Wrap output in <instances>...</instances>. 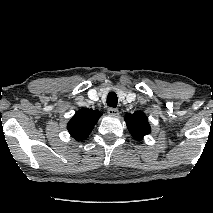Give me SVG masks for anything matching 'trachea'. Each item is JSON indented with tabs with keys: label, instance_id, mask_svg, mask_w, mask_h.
I'll return each instance as SVG.
<instances>
[{
	"label": "trachea",
	"instance_id": "obj_1",
	"mask_svg": "<svg viewBox=\"0 0 213 213\" xmlns=\"http://www.w3.org/2000/svg\"><path fill=\"white\" fill-rule=\"evenodd\" d=\"M117 103H118L117 94L115 92H109L107 96V105L112 108H115L117 106Z\"/></svg>",
	"mask_w": 213,
	"mask_h": 213
}]
</instances>
